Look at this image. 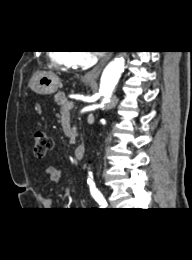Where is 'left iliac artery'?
I'll return each instance as SVG.
<instances>
[{
  "label": "left iliac artery",
  "instance_id": "left-iliac-artery-1",
  "mask_svg": "<svg viewBox=\"0 0 192 260\" xmlns=\"http://www.w3.org/2000/svg\"><path fill=\"white\" fill-rule=\"evenodd\" d=\"M90 192H91L92 197L97 201V203H99L103 207L107 206V202H106L104 196L95 186H91Z\"/></svg>",
  "mask_w": 192,
  "mask_h": 260
}]
</instances>
